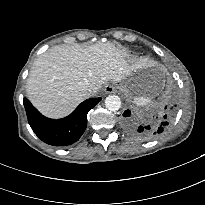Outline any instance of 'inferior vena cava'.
<instances>
[{"instance_id": "602c4592", "label": "inferior vena cava", "mask_w": 205, "mask_h": 205, "mask_svg": "<svg viewBox=\"0 0 205 205\" xmlns=\"http://www.w3.org/2000/svg\"><path fill=\"white\" fill-rule=\"evenodd\" d=\"M88 92H89V93H91V92H92V90H91V89H89V90H88Z\"/></svg>"}]
</instances>
